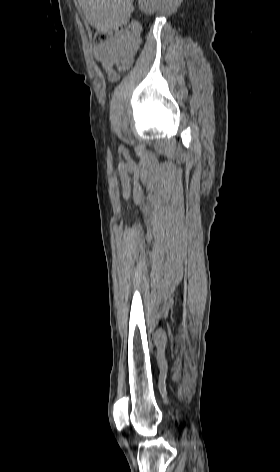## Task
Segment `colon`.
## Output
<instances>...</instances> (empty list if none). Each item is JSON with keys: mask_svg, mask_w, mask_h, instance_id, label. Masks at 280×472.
<instances>
[{"mask_svg": "<svg viewBox=\"0 0 280 472\" xmlns=\"http://www.w3.org/2000/svg\"><path fill=\"white\" fill-rule=\"evenodd\" d=\"M128 27L126 25H121L119 26L116 30L115 33L117 34H122L127 32ZM112 39V32L110 31H94L93 33V42L96 46H103L106 45L107 43L110 42ZM130 65V59L129 58H122L119 60L117 63V67L119 69H125Z\"/></svg>", "mask_w": 280, "mask_h": 472, "instance_id": "obj_1", "label": "colon"}]
</instances>
